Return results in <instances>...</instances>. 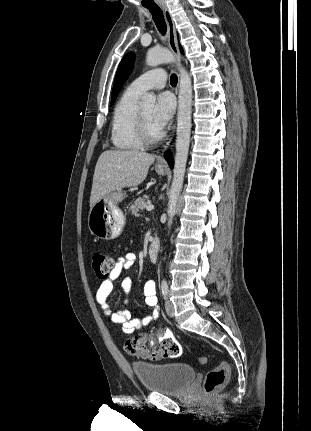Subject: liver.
I'll return each mask as SVG.
<instances>
[{"label": "liver", "mask_w": 311, "mask_h": 431, "mask_svg": "<svg viewBox=\"0 0 311 431\" xmlns=\"http://www.w3.org/2000/svg\"><path fill=\"white\" fill-rule=\"evenodd\" d=\"M154 154L139 150H107L95 166L90 208L104 196L123 188L139 186L147 178L148 170L155 162Z\"/></svg>", "instance_id": "obj_1"}]
</instances>
